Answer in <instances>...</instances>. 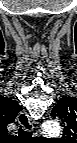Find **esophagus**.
<instances>
[{"instance_id":"obj_1","label":"esophagus","mask_w":77,"mask_h":143,"mask_svg":"<svg viewBox=\"0 0 77 143\" xmlns=\"http://www.w3.org/2000/svg\"><path fill=\"white\" fill-rule=\"evenodd\" d=\"M18 123L25 131H31L34 129V120L27 112H21L17 117Z\"/></svg>"}]
</instances>
